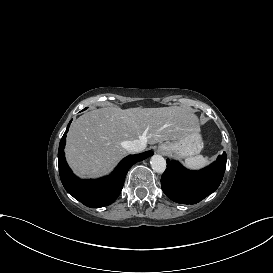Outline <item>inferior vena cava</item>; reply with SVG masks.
<instances>
[{
	"mask_svg": "<svg viewBox=\"0 0 273 273\" xmlns=\"http://www.w3.org/2000/svg\"><path fill=\"white\" fill-rule=\"evenodd\" d=\"M125 148L129 152L140 153L146 148V142L141 140L128 141Z\"/></svg>",
	"mask_w": 273,
	"mask_h": 273,
	"instance_id": "inferior-vena-cava-1",
	"label": "inferior vena cava"
}]
</instances>
